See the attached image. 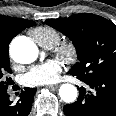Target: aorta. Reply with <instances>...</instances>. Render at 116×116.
Masks as SVG:
<instances>
[{
    "instance_id": "obj_1",
    "label": "aorta",
    "mask_w": 116,
    "mask_h": 116,
    "mask_svg": "<svg viewBox=\"0 0 116 116\" xmlns=\"http://www.w3.org/2000/svg\"><path fill=\"white\" fill-rule=\"evenodd\" d=\"M39 49L28 37L19 36L10 44V55L15 62L30 64L39 56ZM61 99L66 103H73L77 96V88L72 84H62L59 89Z\"/></svg>"
}]
</instances>
